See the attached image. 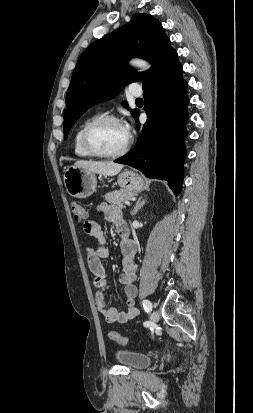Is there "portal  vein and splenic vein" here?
I'll return each instance as SVG.
<instances>
[{
    "label": "portal vein and splenic vein",
    "instance_id": "obj_1",
    "mask_svg": "<svg viewBox=\"0 0 253 413\" xmlns=\"http://www.w3.org/2000/svg\"><path fill=\"white\" fill-rule=\"evenodd\" d=\"M125 204H126V205H129V204H130V201L126 200V201H125Z\"/></svg>",
    "mask_w": 253,
    "mask_h": 413
}]
</instances>
